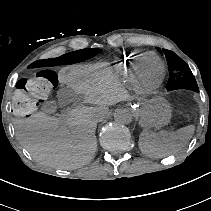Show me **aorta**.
I'll return each mask as SVG.
<instances>
[{
	"label": "aorta",
	"mask_w": 211,
	"mask_h": 211,
	"mask_svg": "<svg viewBox=\"0 0 211 211\" xmlns=\"http://www.w3.org/2000/svg\"><path fill=\"white\" fill-rule=\"evenodd\" d=\"M133 119L131 111L127 108H119L114 111V120L118 124H129Z\"/></svg>",
	"instance_id": "762f6f07"
}]
</instances>
